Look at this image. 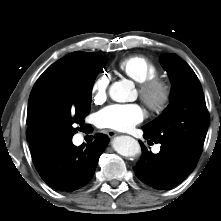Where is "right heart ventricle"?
<instances>
[{
    "label": "right heart ventricle",
    "mask_w": 221,
    "mask_h": 221,
    "mask_svg": "<svg viewBox=\"0 0 221 221\" xmlns=\"http://www.w3.org/2000/svg\"><path fill=\"white\" fill-rule=\"evenodd\" d=\"M118 67L126 76L137 83L156 77L159 73L158 66L151 59L142 55L128 57L122 60Z\"/></svg>",
    "instance_id": "1"
}]
</instances>
